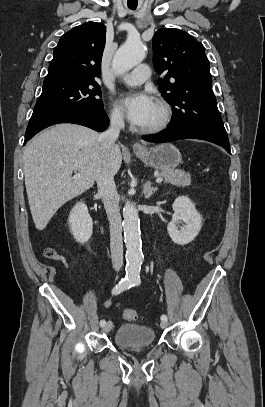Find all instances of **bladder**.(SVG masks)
I'll list each match as a JSON object with an SVG mask.
<instances>
[{"instance_id":"obj_1","label":"bladder","mask_w":265,"mask_h":407,"mask_svg":"<svg viewBox=\"0 0 265 407\" xmlns=\"http://www.w3.org/2000/svg\"><path fill=\"white\" fill-rule=\"evenodd\" d=\"M155 339V331L149 326L123 324L114 334L116 345L124 348H142L151 345Z\"/></svg>"}]
</instances>
